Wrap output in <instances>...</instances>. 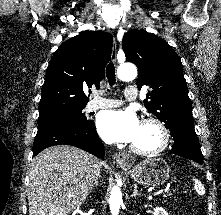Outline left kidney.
Listing matches in <instances>:
<instances>
[{
    "label": "left kidney",
    "mask_w": 221,
    "mask_h": 215,
    "mask_svg": "<svg viewBox=\"0 0 221 215\" xmlns=\"http://www.w3.org/2000/svg\"><path fill=\"white\" fill-rule=\"evenodd\" d=\"M154 215H168V212L162 207H157L154 209Z\"/></svg>",
    "instance_id": "obj_1"
}]
</instances>
